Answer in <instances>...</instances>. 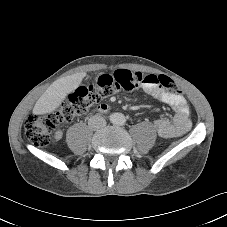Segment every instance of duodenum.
<instances>
[{
	"label": "duodenum",
	"instance_id": "1",
	"mask_svg": "<svg viewBox=\"0 0 227 227\" xmlns=\"http://www.w3.org/2000/svg\"><path fill=\"white\" fill-rule=\"evenodd\" d=\"M98 110L101 112H106V111H108V106L105 104H102L98 107Z\"/></svg>",
	"mask_w": 227,
	"mask_h": 227
}]
</instances>
